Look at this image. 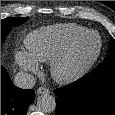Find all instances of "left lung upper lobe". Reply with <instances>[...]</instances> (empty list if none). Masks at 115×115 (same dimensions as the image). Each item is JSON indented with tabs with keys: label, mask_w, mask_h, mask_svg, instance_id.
<instances>
[{
	"label": "left lung upper lobe",
	"mask_w": 115,
	"mask_h": 115,
	"mask_svg": "<svg viewBox=\"0 0 115 115\" xmlns=\"http://www.w3.org/2000/svg\"><path fill=\"white\" fill-rule=\"evenodd\" d=\"M107 69H115V40L113 38L110 40L109 50L106 58L94 70L104 71Z\"/></svg>",
	"instance_id": "1"
}]
</instances>
